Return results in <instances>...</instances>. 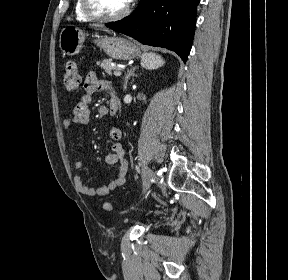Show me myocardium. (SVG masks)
<instances>
[{
    "label": "myocardium",
    "mask_w": 288,
    "mask_h": 280,
    "mask_svg": "<svg viewBox=\"0 0 288 280\" xmlns=\"http://www.w3.org/2000/svg\"><path fill=\"white\" fill-rule=\"evenodd\" d=\"M84 13L93 20L97 21H116L124 18L130 11V7L127 4L126 7L119 13L114 15H106L101 13L94 5L92 0H81Z\"/></svg>",
    "instance_id": "myocardium-1"
}]
</instances>
